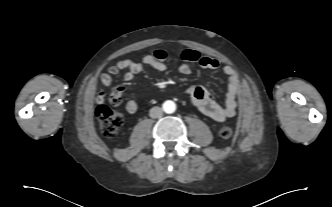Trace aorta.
Segmentation results:
<instances>
[{"mask_svg":"<svg viewBox=\"0 0 332 207\" xmlns=\"http://www.w3.org/2000/svg\"><path fill=\"white\" fill-rule=\"evenodd\" d=\"M163 110L167 114L174 113L176 110V104L171 100H167L163 103Z\"/></svg>","mask_w":332,"mask_h":207,"instance_id":"762f6f07","label":"aorta"}]
</instances>
